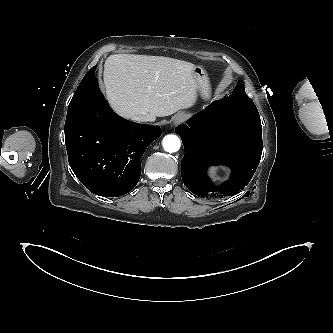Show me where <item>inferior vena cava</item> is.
I'll return each instance as SVG.
<instances>
[{"mask_svg":"<svg viewBox=\"0 0 333 333\" xmlns=\"http://www.w3.org/2000/svg\"><path fill=\"white\" fill-rule=\"evenodd\" d=\"M133 120H135L137 122H147V121H149V117L146 115H137V116L133 117Z\"/></svg>","mask_w":333,"mask_h":333,"instance_id":"inferior-vena-cava-1","label":"inferior vena cava"}]
</instances>
